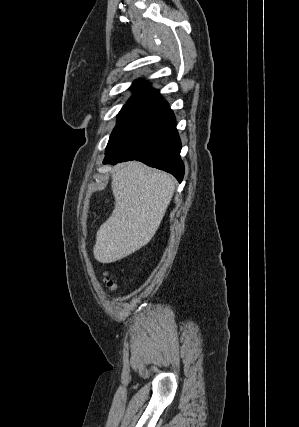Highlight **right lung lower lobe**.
Masks as SVG:
<instances>
[{"instance_id":"98d812e1","label":"right lung lower lobe","mask_w":299,"mask_h":427,"mask_svg":"<svg viewBox=\"0 0 299 427\" xmlns=\"http://www.w3.org/2000/svg\"><path fill=\"white\" fill-rule=\"evenodd\" d=\"M180 151L175 116L166 101H159L128 134L106 151L103 163L137 160L167 171L181 182L184 164Z\"/></svg>"}]
</instances>
